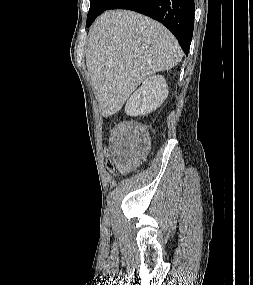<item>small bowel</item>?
Returning <instances> with one entry per match:
<instances>
[{"mask_svg":"<svg viewBox=\"0 0 253 285\" xmlns=\"http://www.w3.org/2000/svg\"><path fill=\"white\" fill-rule=\"evenodd\" d=\"M126 152L128 151L127 148L124 149Z\"/></svg>","mask_w":253,"mask_h":285,"instance_id":"1","label":"small bowel"}]
</instances>
